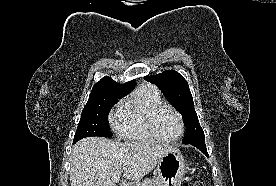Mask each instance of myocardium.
<instances>
[{"label":"myocardium","mask_w":276,"mask_h":186,"mask_svg":"<svg viewBox=\"0 0 276 186\" xmlns=\"http://www.w3.org/2000/svg\"><path fill=\"white\" fill-rule=\"evenodd\" d=\"M163 109H169V110L173 111L180 121V125H181L180 133L176 137L171 138V139L164 138L157 130V126H156L157 118ZM149 128H150L152 135L157 140H159L163 143H174V142L179 141L183 137V135L185 133L186 126H185V121H184L182 114L174 106L167 104V103H162V104L156 106L152 110L150 117H149Z\"/></svg>","instance_id":"f54148a6"}]
</instances>
